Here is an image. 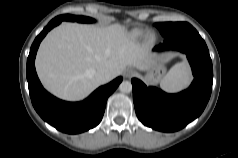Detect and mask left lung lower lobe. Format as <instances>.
I'll use <instances>...</instances> for the list:
<instances>
[{
    "label": "left lung lower lobe",
    "mask_w": 238,
    "mask_h": 158,
    "mask_svg": "<svg viewBox=\"0 0 238 158\" xmlns=\"http://www.w3.org/2000/svg\"><path fill=\"white\" fill-rule=\"evenodd\" d=\"M178 50L187 55L194 80L178 94H167L155 87H147L133 78V101L138 119L146 126L163 132L184 128L200 116L212 90L213 67L206 43L190 27L165 38L154 51Z\"/></svg>",
    "instance_id": "obj_1"
}]
</instances>
